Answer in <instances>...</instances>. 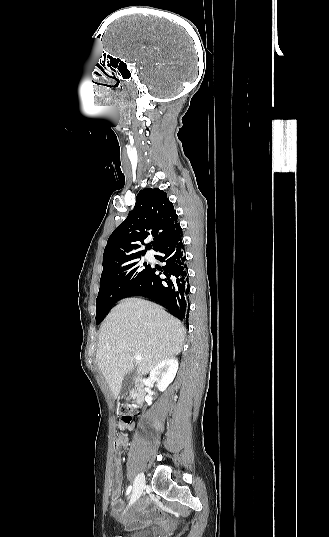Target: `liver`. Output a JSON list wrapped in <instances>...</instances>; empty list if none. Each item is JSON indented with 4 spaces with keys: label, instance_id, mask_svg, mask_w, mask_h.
Returning a JSON list of instances; mask_svg holds the SVG:
<instances>
[{
    "label": "liver",
    "instance_id": "1",
    "mask_svg": "<svg viewBox=\"0 0 329 537\" xmlns=\"http://www.w3.org/2000/svg\"><path fill=\"white\" fill-rule=\"evenodd\" d=\"M186 329L161 306L130 298L116 305L102 323L96 362L116 399L124 376L138 367L146 375L182 350ZM142 357L137 361L134 355Z\"/></svg>",
    "mask_w": 329,
    "mask_h": 537
}]
</instances>
